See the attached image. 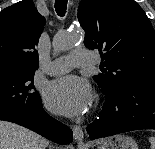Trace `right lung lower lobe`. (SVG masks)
<instances>
[{
    "mask_svg": "<svg viewBox=\"0 0 155 149\" xmlns=\"http://www.w3.org/2000/svg\"><path fill=\"white\" fill-rule=\"evenodd\" d=\"M0 120L24 126L58 144H69L73 141L72 130L49 116L43 110L41 101L29 114L16 115L0 112Z\"/></svg>",
    "mask_w": 155,
    "mask_h": 149,
    "instance_id": "right-lung-lower-lobe-1",
    "label": "right lung lower lobe"
}]
</instances>
